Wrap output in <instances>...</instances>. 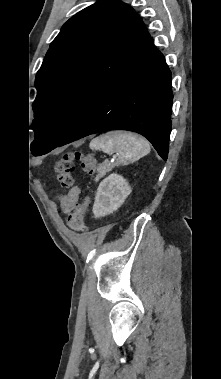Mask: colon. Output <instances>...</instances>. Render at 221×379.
Instances as JSON below:
<instances>
[{
    "label": "colon",
    "instance_id": "5ec220e1",
    "mask_svg": "<svg viewBox=\"0 0 221 379\" xmlns=\"http://www.w3.org/2000/svg\"><path fill=\"white\" fill-rule=\"evenodd\" d=\"M80 161L84 173L94 175L97 171L96 160L81 152H68L56 164L57 180L63 187H69L73 184L72 173L74 171V161ZM89 204V199L76 205L73 211L67 215L68 225L77 232H82L86 229L85 216Z\"/></svg>",
    "mask_w": 221,
    "mask_h": 379
}]
</instances>
